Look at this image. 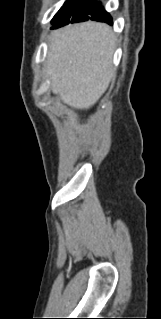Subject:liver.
<instances>
[{"instance_id": "1", "label": "liver", "mask_w": 161, "mask_h": 319, "mask_svg": "<svg viewBox=\"0 0 161 319\" xmlns=\"http://www.w3.org/2000/svg\"><path fill=\"white\" fill-rule=\"evenodd\" d=\"M115 42L108 25L92 21L52 32L46 68L52 92L70 107L93 106L113 76Z\"/></svg>"}]
</instances>
